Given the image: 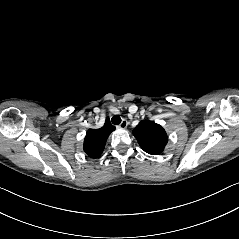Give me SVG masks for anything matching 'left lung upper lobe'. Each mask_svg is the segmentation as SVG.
<instances>
[{"mask_svg": "<svg viewBox=\"0 0 239 239\" xmlns=\"http://www.w3.org/2000/svg\"><path fill=\"white\" fill-rule=\"evenodd\" d=\"M133 135L137 139L140 147L149 154H160L168 142V137L162 126L159 124L143 120L133 130Z\"/></svg>", "mask_w": 239, "mask_h": 239, "instance_id": "5c2ea615", "label": "left lung upper lobe"}]
</instances>
